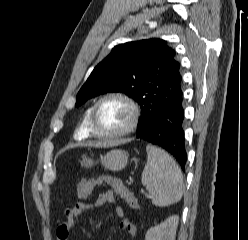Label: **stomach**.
<instances>
[{
    "instance_id": "obj_1",
    "label": "stomach",
    "mask_w": 248,
    "mask_h": 240,
    "mask_svg": "<svg viewBox=\"0 0 248 240\" xmlns=\"http://www.w3.org/2000/svg\"><path fill=\"white\" fill-rule=\"evenodd\" d=\"M101 164L111 171H120L125 168L128 163V157L125 151L120 149H114L106 153L104 157L101 158ZM94 161L88 157H83L81 165L84 167H91Z\"/></svg>"
}]
</instances>
